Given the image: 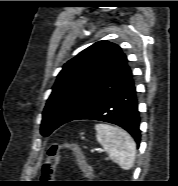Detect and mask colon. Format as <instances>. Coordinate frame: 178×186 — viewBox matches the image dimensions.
<instances>
[{
	"mask_svg": "<svg viewBox=\"0 0 178 186\" xmlns=\"http://www.w3.org/2000/svg\"><path fill=\"white\" fill-rule=\"evenodd\" d=\"M64 149L71 150L76 155L77 163L82 171H89L87 163L73 145L54 143L49 147L46 159L41 165V178L43 181L50 182L54 178L56 166L61 159Z\"/></svg>",
	"mask_w": 178,
	"mask_h": 186,
	"instance_id": "obj_1",
	"label": "colon"
}]
</instances>
